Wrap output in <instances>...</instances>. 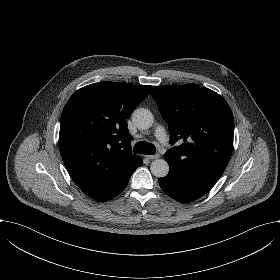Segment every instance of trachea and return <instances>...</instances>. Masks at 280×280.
I'll list each match as a JSON object with an SVG mask.
<instances>
[{
  "mask_svg": "<svg viewBox=\"0 0 280 280\" xmlns=\"http://www.w3.org/2000/svg\"><path fill=\"white\" fill-rule=\"evenodd\" d=\"M135 154H148L152 155L156 152V147L152 143L146 141H139L133 148Z\"/></svg>",
  "mask_w": 280,
  "mask_h": 280,
  "instance_id": "1",
  "label": "trachea"
}]
</instances>
